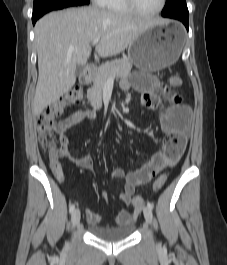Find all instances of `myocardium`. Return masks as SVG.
Returning a JSON list of instances; mask_svg holds the SVG:
<instances>
[{
    "mask_svg": "<svg viewBox=\"0 0 227 265\" xmlns=\"http://www.w3.org/2000/svg\"><path fill=\"white\" fill-rule=\"evenodd\" d=\"M127 5L129 6V8L135 13V14H138V15H141V16H154V15H157L159 14L165 7L166 5V0H161V4L160 6L152 11V12H144L142 10H140L136 4V1L135 0H125Z\"/></svg>",
    "mask_w": 227,
    "mask_h": 265,
    "instance_id": "f54148a6",
    "label": "myocardium"
}]
</instances>
